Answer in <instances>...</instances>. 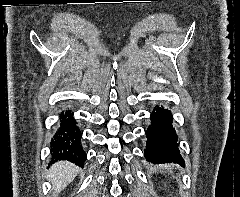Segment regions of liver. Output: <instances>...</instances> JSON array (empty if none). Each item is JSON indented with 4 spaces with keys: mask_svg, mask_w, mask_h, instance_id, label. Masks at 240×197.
<instances>
[{
    "mask_svg": "<svg viewBox=\"0 0 240 197\" xmlns=\"http://www.w3.org/2000/svg\"><path fill=\"white\" fill-rule=\"evenodd\" d=\"M79 172V168L67 161H60L53 164L49 170V180H51L55 192H60L74 180Z\"/></svg>",
    "mask_w": 240,
    "mask_h": 197,
    "instance_id": "obj_1",
    "label": "liver"
}]
</instances>
